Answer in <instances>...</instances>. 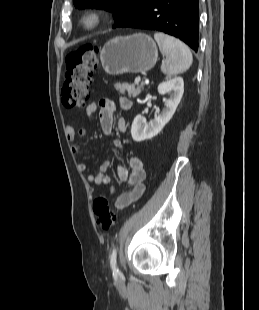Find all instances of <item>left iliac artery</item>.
Wrapping results in <instances>:
<instances>
[{
  "label": "left iliac artery",
  "mask_w": 259,
  "mask_h": 310,
  "mask_svg": "<svg viewBox=\"0 0 259 310\" xmlns=\"http://www.w3.org/2000/svg\"><path fill=\"white\" fill-rule=\"evenodd\" d=\"M116 258H117V249L114 248L112 251V254L110 256V266H111L113 272H118Z\"/></svg>",
  "instance_id": "left-iliac-artery-1"
}]
</instances>
